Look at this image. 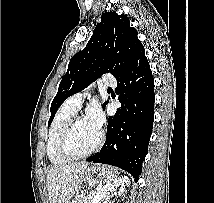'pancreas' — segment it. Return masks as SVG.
<instances>
[{
    "mask_svg": "<svg viewBox=\"0 0 214 203\" xmlns=\"http://www.w3.org/2000/svg\"><path fill=\"white\" fill-rule=\"evenodd\" d=\"M96 193H90L88 196L78 199L76 198L75 200L72 201V203H91V199L95 196ZM110 198V193L106 191L105 195L101 198V200L98 203H110L109 202Z\"/></svg>",
    "mask_w": 214,
    "mask_h": 203,
    "instance_id": "obj_1",
    "label": "pancreas"
}]
</instances>
